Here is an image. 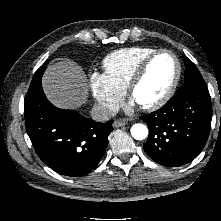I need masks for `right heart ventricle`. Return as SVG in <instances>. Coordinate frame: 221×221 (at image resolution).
<instances>
[{
    "label": "right heart ventricle",
    "mask_w": 221,
    "mask_h": 221,
    "mask_svg": "<svg viewBox=\"0 0 221 221\" xmlns=\"http://www.w3.org/2000/svg\"><path fill=\"white\" fill-rule=\"evenodd\" d=\"M156 49L128 47L115 50L102 61L104 74L122 91H125L140 63Z\"/></svg>",
    "instance_id": "right-heart-ventricle-1"
}]
</instances>
